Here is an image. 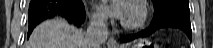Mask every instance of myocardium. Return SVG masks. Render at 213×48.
Returning a JSON list of instances; mask_svg holds the SVG:
<instances>
[{
  "label": "myocardium",
  "mask_w": 213,
  "mask_h": 48,
  "mask_svg": "<svg viewBox=\"0 0 213 48\" xmlns=\"http://www.w3.org/2000/svg\"><path fill=\"white\" fill-rule=\"evenodd\" d=\"M130 8L135 10L137 17L132 20H122V27L126 30H136L141 28L148 19V9L142 1H131Z\"/></svg>",
  "instance_id": "obj_1"
}]
</instances>
